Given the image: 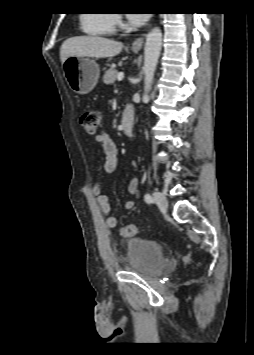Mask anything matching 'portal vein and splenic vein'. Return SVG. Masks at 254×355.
Segmentation results:
<instances>
[{
	"label": "portal vein and splenic vein",
	"mask_w": 254,
	"mask_h": 355,
	"mask_svg": "<svg viewBox=\"0 0 254 355\" xmlns=\"http://www.w3.org/2000/svg\"><path fill=\"white\" fill-rule=\"evenodd\" d=\"M124 79V73L123 72H120L117 74V80L118 81H122Z\"/></svg>",
	"instance_id": "18ae733b"
}]
</instances>
